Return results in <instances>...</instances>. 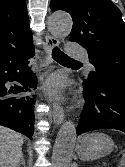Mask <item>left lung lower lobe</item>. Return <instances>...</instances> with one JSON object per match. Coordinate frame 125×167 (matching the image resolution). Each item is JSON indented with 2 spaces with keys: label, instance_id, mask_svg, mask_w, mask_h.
I'll use <instances>...</instances> for the list:
<instances>
[{
  "label": "left lung lower lobe",
  "instance_id": "0a47b994",
  "mask_svg": "<svg viewBox=\"0 0 125 167\" xmlns=\"http://www.w3.org/2000/svg\"><path fill=\"white\" fill-rule=\"evenodd\" d=\"M84 88V111L77 135L110 128L125 132V78L102 77L92 88Z\"/></svg>",
  "mask_w": 125,
  "mask_h": 167
}]
</instances>
